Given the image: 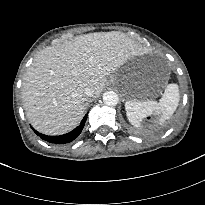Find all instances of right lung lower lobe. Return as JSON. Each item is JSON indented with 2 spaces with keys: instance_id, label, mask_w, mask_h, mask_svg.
<instances>
[{
  "instance_id": "obj_1",
  "label": "right lung lower lobe",
  "mask_w": 205,
  "mask_h": 205,
  "mask_svg": "<svg viewBox=\"0 0 205 205\" xmlns=\"http://www.w3.org/2000/svg\"><path fill=\"white\" fill-rule=\"evenodd\" d=\"M86 119H87V114L85 115V117L83 118V120L81 121L80 125L77 128H75L73 131H71L67 134H64V135L47 136V135L40 134L39 132H37L35 130H34V132L38 136H40L43 140H46L50 143L65 144V143H69V142L73 141L75 138L78 137V135L81 133V131L85 125Z\"/></svg>"
}]
</instances>
